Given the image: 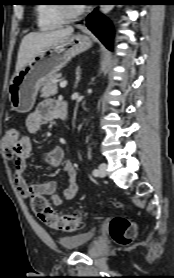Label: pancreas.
<instances>
[{"label":"pancreas","instance_id":"1","mask_svg":"<svg viewBox=\"0 0 174 278\" xmlns=\"http://www.w3.org/2000/svg\"><path fill=\"white\" fill-rule=\"evenodd\" d=\"M61 77V74H56L49 78L44 84L41 89V98H48L50 96H54L57 94V82L59 78Z\"/></svg>","mask_w":174,"mask_h":278}]
</instances>
